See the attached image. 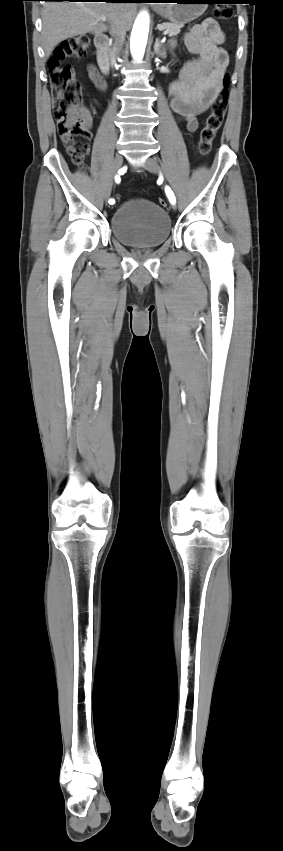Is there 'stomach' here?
Here are the masks:
<instances>
[{
	"instance_id": "1",
	"label": "stomach",
	"mask_w": 283,
	"mask_h": 851,
	"mask_svg": "<svg viewBox=\"0 0 283 851\" xmlns=\"http://www.w3.org/2000/svg\"><path fill=\"white\" fill-rule=\"evenodd\" d=\"M156 5V11L175 24H186L201 16L207 9L208 0H166Z\"/></svg>"
}]
</instances>
